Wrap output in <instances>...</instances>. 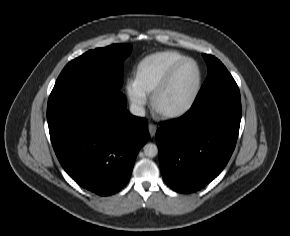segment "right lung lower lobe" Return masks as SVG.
Segmentation results:
<instances>
[{
	"mask_svg": "<svg viewBox=\"0 0 290 236\" xmlns=\"http://www.w3.org/2000/svg\"><path fill=\"white\" fill-rule=\"evenodd\" d=\"M47 120L56 156L80 186L102 196L128 182L150 135L147 120L131 115L121 92L50 95Z\"/></svg>",
	"mask_w": 290,
	"mask_h": 236,
	"instance_id": "right-lung-lower-lobe-1",
	"label": "right lung lower lobe"
}]
</instances>
